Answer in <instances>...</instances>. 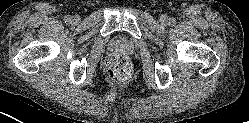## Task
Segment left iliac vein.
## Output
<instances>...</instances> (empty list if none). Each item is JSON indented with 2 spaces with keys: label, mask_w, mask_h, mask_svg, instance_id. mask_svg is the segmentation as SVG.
Returning a JSON list of instances; mask_svg holds the SVG:
<instances>
[{
  "label": "left iliac vein",
  "mask_w": 249,
  "mask_h": 123,
  "mask_svg": "<svg viewBox=\"0 0 249 123\" xmlns=\"http://www.w3.org/2000/svg\"><path fill=\"white\" fill-rule=\"evenodd\" d=\"M160 21H161L162 24L166 25L169 22V18H168L167 15H161Z\"/></svg>",
  "instance_id": "left-iliac-vein-1"
}]
</instances>
